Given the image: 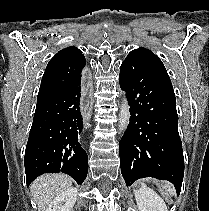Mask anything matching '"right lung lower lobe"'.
<instances>
[{"instance_id":"98d812e1","label":"right lung lower lobe","mask_w":209,"mask_h":211,"mask_svg":"<svg viewBox=\"0 0 209 211\" xmlns=\"http://www.w3.org/2000/svg\"><path fill=\"white\" fill-rule=\"evenodd\" d=\"M80 100L81 80L37 103L24 157L27 186L45 173L63 172L78 184L85 180L88 156L78 138Z\"/></svg>"}]
</instances>
